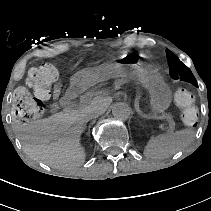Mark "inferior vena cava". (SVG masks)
Listing matches in <instances>:
<instances>
[{"instance_id":"602c4592","label":"inferior vena cava","mask_w":211,"mask_h":211,"mask_svg":"<svg viewBox=\"0 0 211 211\" xmlns=\"http://www.w3.org/2000/svg\"><path fill=\"white\" fill-rule=\"evenodd\" d=\"M83 113V119L85 121H88L93 118H97L99 115L104 113V108L103 107H98L97 105L90 104L83 108L82 110Z\"/></svg>"}]
</instances>
